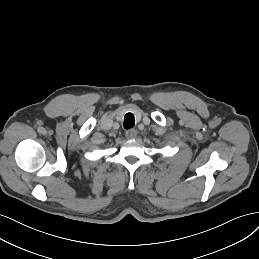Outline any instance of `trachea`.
Instances as JSON below:
<instances>
[{
  "label": "trachea",
  "instance_id": "trachea-1",
  "mask_svg": "<svg viewBox=\"0 0 259 259\" xmlns=\"http://www.w3.org/2000/svg\"><path fill=\"white\" fill-rule=\"evenodd\" d=\"M135 125V117L132 113H127L124 116V128L125 129H129V128H133Z\"/></svg>",
  "mask_w": 259,
  "mask_h": 259
}]
</instances>
